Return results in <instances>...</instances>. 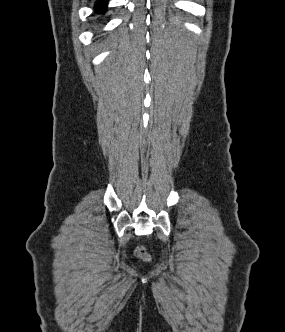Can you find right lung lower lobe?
<instances>
[{
    "label": "right lung lower lobe",
    "mask_w": 285,
    "mask_h": 332,
    "mask_svg": "<svg viewBox=\"0 0 285 332\" xmlns=\"http://www.w3.org/2000/svg\"><path fill=\"white\" fill-rule=\"evenodd\" d=\"M106 4H107V0H100V1L97 2V4L95 5V9H96L97 12H99V13L105 12Z\"/></svg>",
    "instance_id": "1"
}]
</instances>
